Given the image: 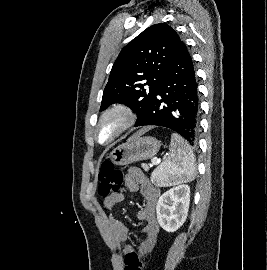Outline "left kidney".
Masks as SVG:
<instances>
[{
	"mask_svg": "<svg viewBox=\"0 0 267 270\" xmlns=\"http://www.w3.org/2000/svg\"><path fill=\"white\" fill-rule=\"evenodd\" d=\"M190 203V187L175 186L163 193L157 202L156 213L160 226L167 232H175L185 222Z\"/></svg>",
	"mask_w": 267,
	"mask_h": 270,
	"instance_id": "5707ae66",
	"label": "left kidney"
}]
</instances>
